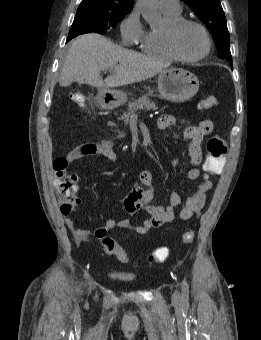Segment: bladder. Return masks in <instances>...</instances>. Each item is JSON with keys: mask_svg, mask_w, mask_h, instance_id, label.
Wrapping results in <instances>:
<instances>
[{"mask_svg": "<svg viewBox=\"0 0 261 340\" xmlns=\"http://www.w3.org/2000/svg\"><path fill=\"white\" fill-rule=\"evenodd\" d=\"M112 277L114 279L120 280V281H125V282H132L135 280V277L132 275H126V274H118V273H113Z\"/></svg>", "mask_w": 261, "mask_h": 340, "instance_id": "obj_1", "label": "bladder"}]
</instances>
